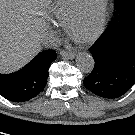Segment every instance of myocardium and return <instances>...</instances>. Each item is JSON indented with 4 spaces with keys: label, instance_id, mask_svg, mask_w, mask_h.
I'll list each match as a JSON object with an SVG mask.
<instances>
[{
    "label": "myocardium",
    "instance_id": "f54148a6",
    "mask_svg": "<svg viewBox=\"0 0 135 135\" xmlns=\"http://www.w3.org/2000/svg\"><path fill=\"white\" fill-rule=\"evenodd\" d=\"M90 2L91 0H84L78 9V11L75 13V15L71 18V20L66 25L67 34L68 36L80 44H91L98 40L102 34L105 31L106 28V22H107V10L109 6V0H102L101 6L97 11L96 14V25L94 28V31L91 35H89L85 39H77L74 36V28L75 26L81 22L90 12Z\"/></svg>",
    "mask_w": 135,
    "mask_h": 135
}]
</instances>
